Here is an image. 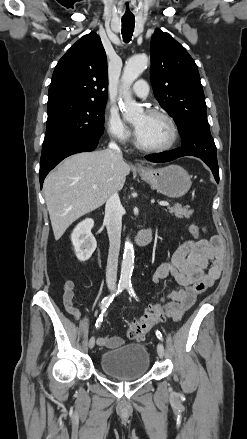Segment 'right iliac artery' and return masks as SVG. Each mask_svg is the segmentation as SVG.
I'll list each match as a JSON object with an SVG mask.
<instances>
[{"label": "right iliac artery", "instance_id": "obj_1", "mask_svg": "<svg viewBox=\"0 0 247 439\" xmlns=\"http://www.w3.org/2000/svg\"><path fill=\"white\" fill-rule=\"evenodd\" d=\"M126 288V284L123 283H119L117 290L109 295L106 296L101 303V310H102V314L100 315V317L97 319L96 321V328H100L102 320H103V313L106 311V308L109 306V304L113 301V299L115 298V296H117L118 294H120L124 289Z\"/></svg>", "mask_w": 247, "mask_h": 439}]
</instances>
